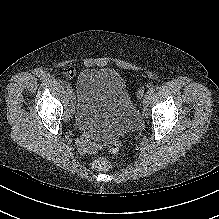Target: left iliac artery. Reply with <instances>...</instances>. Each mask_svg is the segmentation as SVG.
Returning <instances> with one entry per match:
<instances>
[{
    "label": "left iliac artery",
    "mask_w": 219,
    "mask_h": 219,
    "mask_svg": "<svg viewBox=\"0 0 219 219\" xmlns=\"http://www.w3.org/2000/svg\"><path fill=\"white\" fill-rule=\"evenodd\" d=\"M155 86H151L149 89H148V91H147V94H149V95H152L154 92H155Z\"/></svg>",
    "instance_id": "obj_1"
}]
</instances>
